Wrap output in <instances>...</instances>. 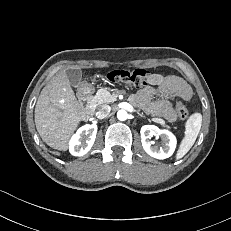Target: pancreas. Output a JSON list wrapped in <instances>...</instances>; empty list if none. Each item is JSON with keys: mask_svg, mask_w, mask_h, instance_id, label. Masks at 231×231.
<instances>
[{"mask_svg": "<svg viewBox=\"0 0 231 231\" xmlns=\"http://www.w3.org/2000/svg\"><path fill=\"white\" fill-rule=\"evenodd\" d=\"M116 100V94H111L106 89H99L96 95L92 98V101L96 104L111 103ZM156 123L165 124V121L161 118L152 119Z\"/></svg>", "mask_w": 231, "mask_h": 231, "instance_id": "cf45deb5", "label": "pancreas"}]
</instances>
